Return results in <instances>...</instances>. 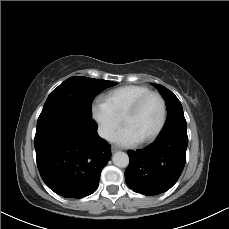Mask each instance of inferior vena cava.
I'll return each mask as SVG.
<instances>
[{
	"label": "inferior vena cava",
	"mask_w": 229,
	"mask_h": 229,
	"mask_svg": "<svg viewBox=\"0 0 229 229\" xmlns=\"http://www.w3.org/2000/svg\"><path fill=\"white\" fill-rule=\"evenodd\" d=\"M98 134L101 138H104L108 141H111L113 139V134L108 130L103 127L98 128Z\"/></svg>",
	"instance_id": "602c4592"
}]
</instances>
